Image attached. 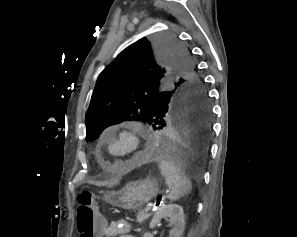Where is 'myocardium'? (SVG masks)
<instances>
[{"instance_id": "obj_1", "label": "myocardium", "mask_w": 297, "mask_h": 237, "mask_svg": "<svg viewBox=\"0 0 297 237\" xmlns=\"http://www.w3.org/2000/svg\"><path fill=\"white\" fill-rule=\"evenodd\" d=\"M119 140H126L129 144V149L123 155L116 156L112 153L111 148L112 144ZM106 145L109 155L118 158L119 161H126L134 158L142 151L143 143L138 130L135 127H127L109 136Z\"/></svg>"}]
</instances>
